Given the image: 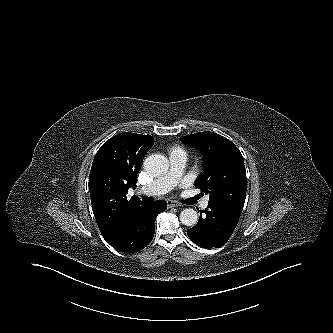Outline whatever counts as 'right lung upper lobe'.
Listing matches in <instances>:
<instances>
[{
  "mask_svg": "<svg viewBox=\"0 0 333 333\" xmlns=\"http://www.w3.org/2000/svg\"><path fill=\"white\" fill-rule=\"evenodd\" d=\"M154 144L148 135L120 133L98 150L89 175L91 204L97 225L109 242L119 231L127 214L143 204L137 197L127 199L135 189L143 158Z\"/></svg>",
  "mask_w": 333,
  "mask_h": 333,
  "instance_id": "cb5924a9",
  "label": "right lung upper lobe"
}]
</instances>
